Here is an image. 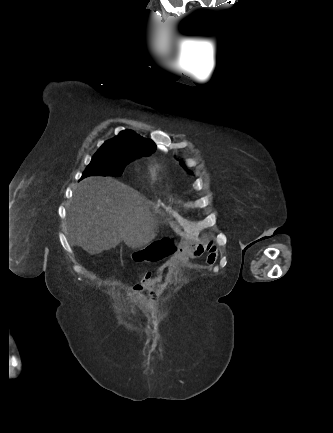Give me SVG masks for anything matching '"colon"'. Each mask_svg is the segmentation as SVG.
I'll list each match as a JSON object with an SVG mask.
<instances>
[{
    "instance_id": "obj_1",
    "label": "colon",
    "mask_w": 333,
    "mask_h": 433,
    "mask_svg": "<svg viewBox=\"0 0 333 433\" xmlns=\"http://www.w3.org/2000/svg\"><path fill=\"white\" fill-rule=\"evenodd\" d=\"M177 246L178 243L172 236H163L161 240H155L154 244H146L144 250L134 249L129 255L133 254V257L137 258V263L160 265L162 258L174 257Z\"/></svg>"
}]
</instances>
